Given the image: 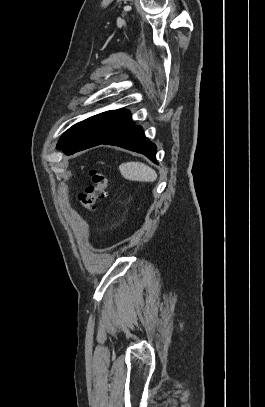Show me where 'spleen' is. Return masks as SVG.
Returning <instances> with one entry per match:
<instances>
[{
	"mask_svg": "<svg viewBox=\"0 0 265 407\" xmlns=\"http://www.w3.org/2000/svg\"><path fill=\"white\" fill-rule=\"evenodd\" d=\"M119 170L124 178L131 181L153 182L157 179L156 171L140 162L122 163Z\"/></svg>",
	"mask_w": 265,
	"mask_h": 407,
	"instance_id": "spleen-1",
	"label": "spleen"
}]
</instances>
